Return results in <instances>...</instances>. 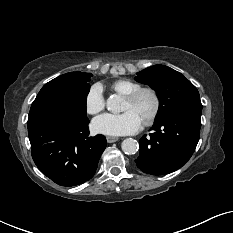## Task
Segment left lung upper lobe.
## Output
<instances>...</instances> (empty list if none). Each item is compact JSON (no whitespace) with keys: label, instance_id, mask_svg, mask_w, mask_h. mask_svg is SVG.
<instances>
[{"label":"left lung upper lobe","instance_id":"obj_1","mask_svg":"<svg viewBox=\"0 0 233 233\" xmlns=\"http://www.w3.org/2000/svg\"><path fill=\"white\" fill-rule=\"evenodd\" d=\"M135 79L156 91L159 98L157 118L182 109L202 110L197 88L181 73L170 67L164 65L148 67L138 72Z\"/></svg>","mask_w":233,"mask_h":233}]
</instances>
